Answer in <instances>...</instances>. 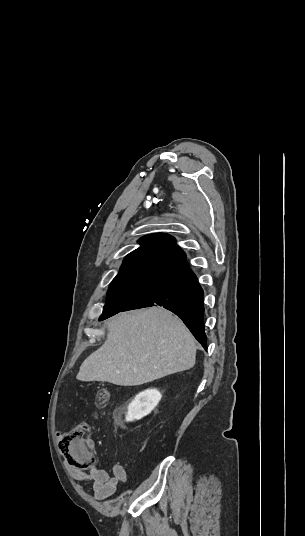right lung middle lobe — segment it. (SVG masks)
I'll return each mask as SVG.
<instances>
[{
  "mask_svg": "<svg viewBox=\"0 0 305 536\" xmlns=\"http://www.w3.org/2000/svg\"><path fill=\"white\" fill-rule=\"evenodd\" d=\"M163 279L164 277L160 276L115 277L108 289L107 302L99 320L106 316H112L128 307Z\"/></svg>",
  "mask_w": 305,
  "mask_h": 536,
  "instance_id": "dd1d6c3e",
  "label": "right lung middle lobe"
}]
</instances>
